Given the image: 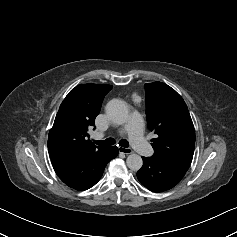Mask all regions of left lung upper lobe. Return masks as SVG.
Returning <instances> with one entry per match:
<instances>
[{"instance_id": "5c2ea615", "label": "left lung upper lobe", "mask_w": 237, "mask_h": 237, "mask_svg": "<svg viewBox=\"0 0 237 237\" xmlns=\"http://www.w3.org/2000/svg\"><path fill=\"white\" fill-rule=\"evenodd\" d=\"M148 129L156 134L154 159L188 170L194 153L195 131L182 97L162 82L145 84Z\"/></svg>"}]
</instances>
